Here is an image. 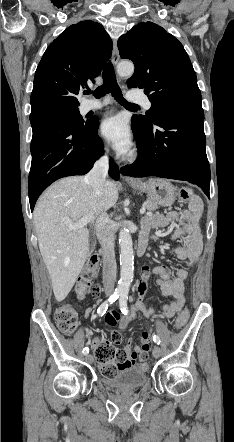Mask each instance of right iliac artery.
<instances>
[{"mask_svg": "<svg viewBox=\"0 0 234 442\" xmlns=\"http://www.w3.org/2000/svg\"><path fill=\"white\" fill-rule=\"evenodd\" d=\"M119 296H120V293H118V292H115V293H113L105 302H103L101 305H100V307L98 308V310H97V313L100 315V316H103L104 314H105V312L107 311V309H108V306L110 305V304H112L113 302H115L118 298H119ZM89 353V348L88 347H85L84 349H83V354L84 355H87Z\"/></svg>", "mask_w": 234, "mask_h": 442, "instance_id": "obj_1", "label": "right iliac artery"}]
</instances>
